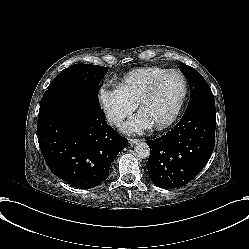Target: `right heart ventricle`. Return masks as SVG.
Returning <instances> with one entry per match:
<instances>
[{
    "mask_svg": "<svg viewBox=\"0 0 249 249\" xmlns=\"http://www.w3.org/2000/svg\"><path fill=\"white\" fill-rule=\"evenodd\" d=\"M166 74L160 68H141L130 72L116 93L133 107L137 106L154 85Z\"/></svg>",
    "mask_w": 249,
    "mask_h": 249,
    "instance_id": "right-heart-ventricle-1",
    "label": "right heart ventricle"
}]
</instances>
